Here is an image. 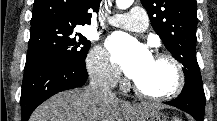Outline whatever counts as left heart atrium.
<instances>
[{
  "label": "left heart atrium",
  "instance_id": "39dd6f15",
  "mask_svg": "<svg viewBox=\"0 0 217 121\" xmlns=\"http://www.w3.org/2000/svg\"><path fill=\"white\" fill-rule=\"evenodd\" d=\"M107 47L113 60L132 79H136L139 76L142 69L152 58L144 45L121 32H116L109 37Z\"/></svg>",
  "mask_w": 217,
  "mask_h": 121
}]
</instances>
